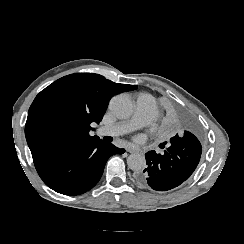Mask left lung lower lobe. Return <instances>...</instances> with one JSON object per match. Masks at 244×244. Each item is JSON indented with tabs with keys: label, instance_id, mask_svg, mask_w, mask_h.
I'll return each instance as SVG.
<instances>
[{
	"label": "left lung lower lobe",
	"instance_id": "left-lung-lower-lobe-1",
	"mask_svg": "<svg viewBox=\"0 0 244 244\" xmlns=\"http://www.w3.org/2000/svg\"><path fill=\"white\" fill-rule=\"evenodd\" d=\"M197 135L194 123L186 120L183 131L170 139L164 153H146L148 166L137 173V182L143 187L150 186L157 191H167L187 180L196 169L202 153ZM162 144L165 145L166 142ZM164 145L161 148H164Z\"/></svg>",
	"mask_w": 244,
	"mask_h": 244
}]
</instances>
